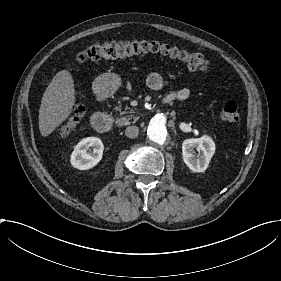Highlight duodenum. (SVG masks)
<instances>
[{
  "label": "duodenum",
  "instance_id": "1",
  "mask_svg": "<svg viewBox=\"0 0 281 281\" xmlns=\"http://www.w3.org/2000/svg\"><path fill=\"white\" fill-rule=\"evenodd\" d=\"M97 97L99 100H103L106 97V93L98 92ZM93 127L100 133H107L111 130L113 121L112 118L103 112H97L92 117Z\"/></svg>",
  "mask_w": 281,
  "mask_h": 281
}]
</instances>
